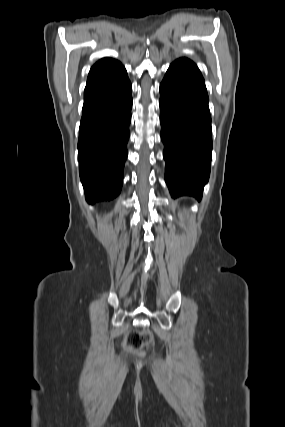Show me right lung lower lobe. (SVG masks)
<instances>
[{
    "label": "right lung lower lobe",
    "mask_w": 285,
    "mask_h": 427,
    "mask_svg": "<svg viewBox=\"0 0 285 427\" xmlns=\"http://www.w3.org/2000/svg\"><path fill=\"white\" fill-rule=\"evenodd\" d=\"M131 91L123 66L86 84L78 160L89 204L112 200L120 194L131 121Z\"/></svg>",
    "instance_id": "1"
}]
</instances>
